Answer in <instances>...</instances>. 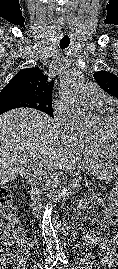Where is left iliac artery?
I'll return each instance as SVG.
<instances>
[{
    "mask_svg": "<svg viewBox=\"0 0 118 269\" xmlns=\"http://www.w3.org/2000/svg\"><path fill=\"white\" fill-rule=\"evenodd\" d=\"M59 260L63 264L68 265V259H67V256L64 253L59 254Z\"/></svg>",
    "mask_w": 118,
    "mask_h": 269,
    "instance_id": "44dca946",
    "label": "left iliac artery"
}]
</instances>
